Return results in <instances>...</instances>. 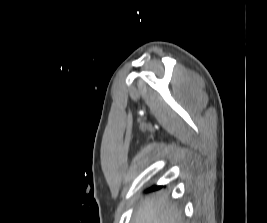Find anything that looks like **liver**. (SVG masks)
I'll return each instance as SVG.
<instances>
[{"label": "liver", "instance_id": "1", "mask_svg": "<svg viewBox=\"0 0 267 223\" xmlns=\"http://www.w3.org/2000/svg\"><path fill=\"white\" fill-rule=\"evenodd\" d=\"M133 223H184L182 212L169 201L168 196L157 194L147 197L136 212Z\"/></svg>", "mask_w": 267, "mask_h": 223}]
</instances>
